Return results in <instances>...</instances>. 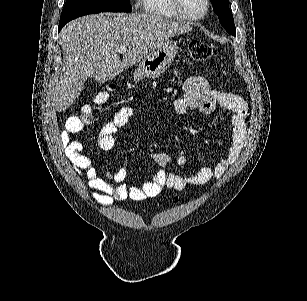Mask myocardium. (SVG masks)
I'll list each match as a JSON object with an SVG mask.
<instances>
[{
	"mask_svg": "<svg viewBox=\"0 0 307 301\" xmlns=\"http://www.w3.org/2000/svg\"><path fill=\"white\" fill-rule=\"evenodd\" d=\"M200 8L193 10H179L181 8V3L183 0H172L170 6L172 7V12H177L175 17H178L179 22H200V17H205L208 4L207 0H200ZM177 2V3H176Z\"/></svg>",
	"mask_w": 307,
	"mask_h": 301,
	"instance_id": "obj_1",
	"label": "myocardium"
}]
</instances>
